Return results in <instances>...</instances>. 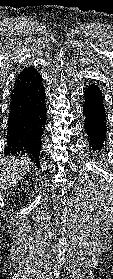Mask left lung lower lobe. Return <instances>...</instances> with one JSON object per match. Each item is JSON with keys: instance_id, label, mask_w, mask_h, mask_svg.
I'll list each match as a JSON object with an SVG mask.
<instances>
[{"instance_id": "obj_1", "label": "left lung lower lobe", "mask_w": 113, "mask_h": 279, "mask_svg": "<svg viewBox=\"0 0 113 279\" xmlns=\"http://www.w3.org/2000/svg\"><path fill=\"white\" fill-rule=\"evenodd\" d=\"M84 97L83 113L86 117L84 128L88 134L90 146L94 151H99L106 136V115L102 93L99 87L93 83L85 89Z\"/></svg>"}]
</instances>
